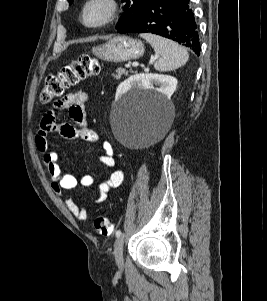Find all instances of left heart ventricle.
I'll return each instance as SVG.
<instances>
[{
  "mask_svg": "<svg viewBox=\"0 0 267 301\" xmlns=\"http://www.w3.org/2000/svg\"><path fill=\"white\" fill-rule=\"evenodd\" d=\"M106 12V8L103 4L96 3L92 5L87 11V20L89 22H95L101 19Z\"/></svg>",
  "mask_w": 267,
  "mask_h": 301,
  "instance_id": "b2bd125f",
  "label": "left heart ventricle"
}]
</instances>
